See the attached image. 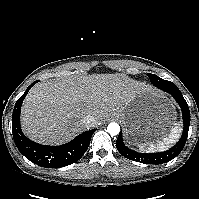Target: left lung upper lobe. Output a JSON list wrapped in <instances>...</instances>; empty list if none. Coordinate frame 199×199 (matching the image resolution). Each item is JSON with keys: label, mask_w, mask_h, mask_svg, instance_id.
Masks as SVG:
<instances>
[{"label": "left lung upper lobe", "mask_w": 199, "mask_h": 199, "mask_svg": "<svg viewBox=\"0 0 199 199\" xmlns=\"http://www.w3.org/2000/svg\"><path fill=\"white\" fill-rule=\"evenodd\" d=\"M148 77H149L151 83L156 87H158L159 85H166V84L172 83L170 81L163 80V79H161L160 77H158L157 75H154V74H148Z\"/></svg>", "instance_id": "obj_1"}]
</instances>
